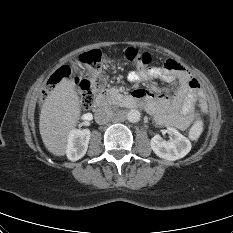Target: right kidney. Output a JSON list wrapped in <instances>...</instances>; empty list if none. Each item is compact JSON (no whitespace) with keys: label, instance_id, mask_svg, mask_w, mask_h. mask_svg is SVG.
I'll return each instance as SVG.
<instances>
[{"label":"right kidney","instance_id":"obj_1","mask_svg":"<svg viewBox=\"0 0 233 233\" xmlns=\"http://www.w3.org/2000/svg\"><path fill=\"white\" fill-rule=\"evenodd\" d=\"M90 135L91 134L88 129H74L70 132L66 150V154L69 160L77 161L86 154Z\"/></svg>","mask_w":233,"mask_h":233}]
</instances>
